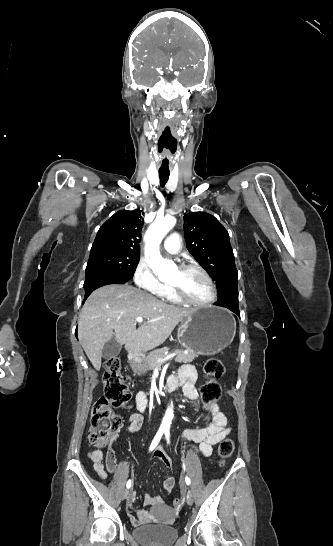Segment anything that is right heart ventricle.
Segmentation results:
<instances>
[{"label": "right heart ventricle", "instance_id": "right-heart-ventricle-1", "mask_svg": "<svg viewBox=\"0 0 333 546\" xmlns=\"http://www.w3.org/2000/svg\"><path fill=\"white\" fill-rule=\"evenodd\" d=\"M163 297L171 302H179V300L174 296L172 289L170 287L167 288L166 292L164 293Z\"/></svg>", "mask_w": 333, "mask_h": 546}]
</instances>
